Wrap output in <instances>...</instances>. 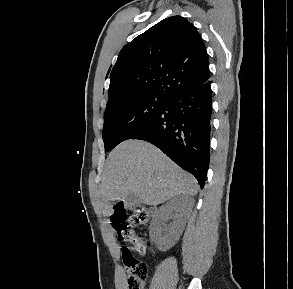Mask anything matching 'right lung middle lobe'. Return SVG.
I'll return each mask as SVG.
<instances>
[{"mask_svg": "<svg viewBox=\"0 0 293 289\" xmlns=\"http://www.w3.org/2000/svg\"><path fill=\"white\" fill-rule=\"evenodd\" d=\"M169 100L157 93L141 94L107 105L104 114L103 140L109 151L127 138Z\"/></svg>", "mask_w": 293, "mask_h": 289, "instance_id": "dd1d6c3e", "label": "right lung middle lobe"}]
</instances>
